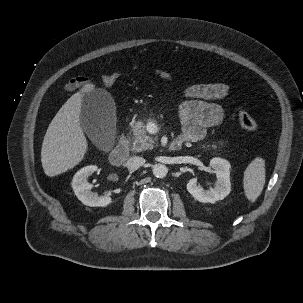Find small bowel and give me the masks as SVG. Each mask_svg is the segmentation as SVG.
I'll list each match as a JSON object with an SVG mask.
<instances>
[{
    "label": "small bowel",
    "instance_id": "small-bowel-1",
    "mask_svg": "<svg viewBox=\"0 0 303 303\" xmlns=\"http://www.w3.org/2000/svg\"><path fill=\"white\" fill-rule=\"evenodd\" d=\"M149 69L155 76L165 82H173V75L162 68H148L134 65L132 71ZM89 79L83 76L70 78L63 86L64 92H72L86 86ZM230 87L224 83L196 84L184 89V100L179 105L183 141L197 142L202 140L209 128L221 125L225 120L224 109L212 102L226 98L230 94Z\"/></svg>",
    "mask_w": 303,
    "mask_h": 303
}]
</instances>
